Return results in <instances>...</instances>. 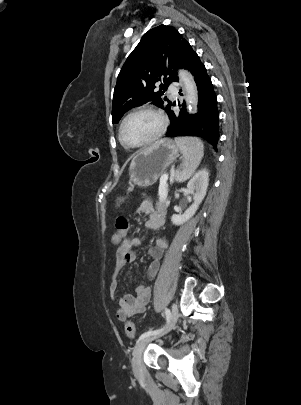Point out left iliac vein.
Listing matches in <instances>:
<instances>
[{
    "mask_svg": "<svg viewBox=\"0 0 301 405\" xmlns=\"http://www.w3.org/2000/svg\"><path fill=\"white\" fill-rule=\"evenodd\" d=\"M178 317H179L178 307L175 303H173L171 306V318H170L167 326L165 327V329L156 335L149 336L147 338L142 339L135 345L134 350H133V358H132V368H133V372H134L135 376L142 375L141 358H142L143 350L146 347V345L150 341L154 340L155 338L161 337V336L167 334L168 332H170L175 327Z\"/></svg>",
    "mask_w": 301,
    "mask_h": 405,
    "instance_id": "left-iliac-vein-1",
    "label": "left iliac vein"
}]
</instances>
